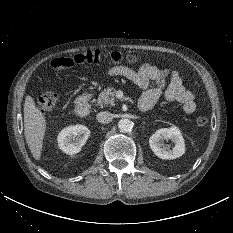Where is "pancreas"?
I'll return each instance as SVG.
<instances>
[{
	"mask_svg": "<svg viewBox=\"0 0 233 233\" xmlns=\"http://www.w3.org/2000/svg\"><path fill=\"white\" fill-rule=\"evenodd\" d=\"M116 89L114 87H108L104 91H102L99 94L98 97V104L103 107V106H114V101H115V95H116Z\"/></svg>",
	"mask_w": 233,
	"mask_h": 233,
	"instance_id": "1",
	"label": "pancreas"
}]
</instances>
